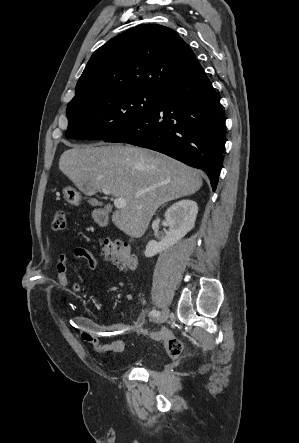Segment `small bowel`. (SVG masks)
Returning <instances> with one entry per match:
<instances>
[{"mask_svg":"<svg viewBox=\"0 0 299 443\" xmlns=\"http://www.w3.org/2000/svg\"><path fill=\"white\" fill-rule=\"evenodd\" d=\"M76 258L86 261L88 268L91 271H95L98 267V261L93 254L84 248H77L74 252ZM58 284L61 289H68L75 293L81 290V286L78 282L74 281L69 274L68 267V255L66 252H62L59 255L58 263L56 266ZM148 309L144 308L139 317L134 321L132 325L126 323H114L111 325H102L95 320L83 315H75L73 317V323L80 333L82 340L89 343L94 352L97 354H110V353H123L125 351V342L122 339L115 338L119 335L126 334L128 332H134L138 336H143L144 330L142 323L146 318ZM100 337L114 338L106 342L100 341Z\"/></svg>","mask_w":299,"mask_h":443,"instance_id":"small-bowel-1","label":"small bowel"}]
</instances>
